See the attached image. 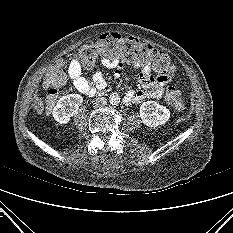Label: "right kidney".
Returning <instances> with one entry per match:
<instances>
[{
    "instance_id": "right-kidney-1",
    "label": "right kidney",
    "mask_w": 233,
    "mask_h": 233,
    "mask_svg": "<svg viewBox=\"0 0 233 233\" xmlns=\"http://www.w3.org/2000/svg\"><path fill=\"white\" fill-rule=\"evenodd\" d=\"M83 102L79 94H69L61 97L53 109V117L60 124H66L75 115Z\"/></svg>"
}]
</instances>
